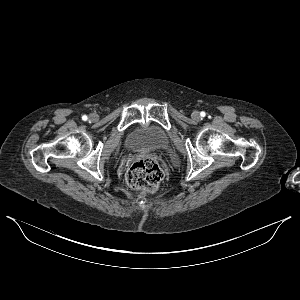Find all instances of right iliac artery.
Returning <instances> with one entry per match:
<instances>
[{
  "instance_id": "obj_1",
  "label": "right iliac artery",
  "mask_w": 300,
  "mask_h": 300,
  "mask_svg": "<svg viewBox=\"0 0 300 300\" xmlns=\"http://www.w3.org/2000/svg\"><path fill=\"white\" fill-rule=\"evenodd\" d=\"M88 119V117L86 115L82 116V120L86 121Z\"/></svg>"
}]
</instances>
